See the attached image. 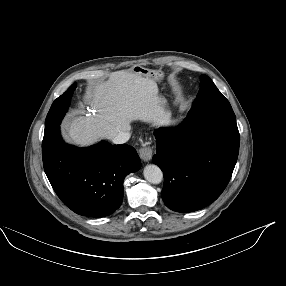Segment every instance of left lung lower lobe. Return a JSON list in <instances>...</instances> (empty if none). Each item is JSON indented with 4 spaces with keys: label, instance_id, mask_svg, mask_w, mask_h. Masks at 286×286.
I'll return each mask as SVG.
<instances>
[{
    "label": "left lung lower lobe",
    "instance_id": "left-lung-lower-lobe-1",
    "mask_svg": "<svg viewBox=\"0 0 286 286\" xmlns=\"http://www.w3.org/2000/svg\"><path fill=\"white\" fill-rule=\"evenodd\" d=\"M152 161L164 174L161 192L166 206L187 213L215 201L234 170L240 136L236 119L216 115L188 116L176 128L154 132Z\"/></svg>",
    "mask_w": 286,
    "mask_h": 286
}]
</instances>
